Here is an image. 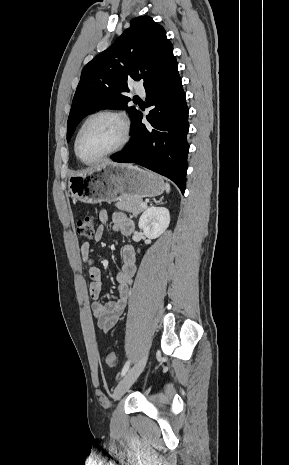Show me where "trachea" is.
Listing matches in <instances>:
<instances>
[{
  "instance_id": "obj_1",
  "label": "trachea",
  "mask_w": 289,
  "mask_h": 465,
  "mask_svg": "<svg viewBox=\"0 0 289 465\" xmlns=\"http://www.w3.org/2000/svg\"><path fill=\"white\" fill-rule=\"evenodd\" d=\"M135 99H139V97H138V96H135Z\"/></svg>"
}]
</instances>
